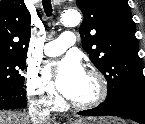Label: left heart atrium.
Listing matches in <instances>:
<instances>
[{
  "instance_id": "1",
  "label": "left heart atrium",
  "mask_w": 145,
  "mask_h": 124,
  "mask_svg": "<svg viewBox=\"0 0 145 124\" xmlns=\"http://www.w3.org/2000/svg\"><path fill=\"white\" fill-rule=\"evenodd\" d=\"M48 75L55 76L58 90L67 98H72L85 77V72L76 57L69 56L61 63L48 67Z\"/></svg>"
}]
</instances>
